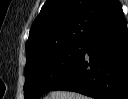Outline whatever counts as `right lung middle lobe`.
I'll list each match as a JSON object with an SVG mask.
<instances>
[{"mask_svg": "<svg viewBox=\"0 0 128 99\" xmlns=\"http://www.w3.org/2000/svg\"><path fill=\"white\" fill-rule=\"evenodd\" d=\"M82 52L83 42H76L27 58L25 99H35L52 90L75 68Z\"/></svg>", "mask_w": 128, "mask_h": 99, "instance_id": "obj_1", "label": "right lung middle lobe"}]
</instances>
